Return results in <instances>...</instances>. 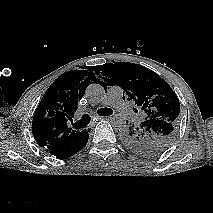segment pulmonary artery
Returning <instances> with one entry per match:
<instances>
[{"mask_svg":"<svg viewBox=\"0 0 213 213\" xmlns=\"http://www.w3.org/2000/svg\"><path fill=\"white\" fill-rule=\"evenodd\" d=\"M123 90L119 86H111L107 89L106 98L104 100L105 105L113 106L123 116H131V112L128 109L126 102L122 98Z\"/></svg>","mask_w":213,"mask_h":213,"instance_id":"e3ab8cb5","label":"pulmonary artery"}]
</instances>
